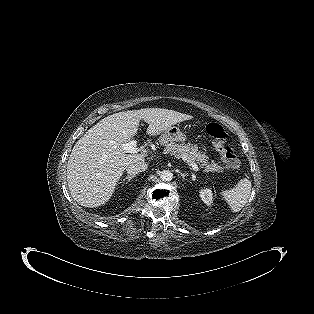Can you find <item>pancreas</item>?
<instances>
[{"instance_id": "obj_1", "label": "pancreas", "mask_w": 314, "mask_h": 314, "mask_svg": "<svg viewBox=\"0 0 314 314\" xmlns=\"http://www.w3.org/2000/svg\"><path fill=\"white\" fill-rule=\"evenodd\" d=\"M163 145L165 146V153L184 159L188 165H191L193 162L201 163L200 166L204 168L205 172H219L222 169L214 161L208 162V157L205 153L199 151L196 145L191 143L176 144L174 142H167Z\"/></svg>"}]
</instances>
